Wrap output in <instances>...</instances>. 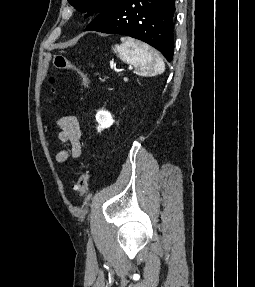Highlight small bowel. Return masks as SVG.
Listing matches in <instances>:
<instances>
[{
    "mask_svg": "<svg viewBox=\"0 0 255 287\" xmlns=\"http://www.w3.org/2000/svg\"><path fill=\"white\" fill-rule=\"evenodd\" d=\"M59 128L58 140L68 144V149H62L55 155L58 163H64L68 159H77L82 152L81 146V127L80 122L75 116H64L57 121Z\"/></svg>",
    "mask_w": 255,
    "mask_h": 287,
    "instance_id": "c3829d8e",
    "label": "small bowel"
}]
</instances>
